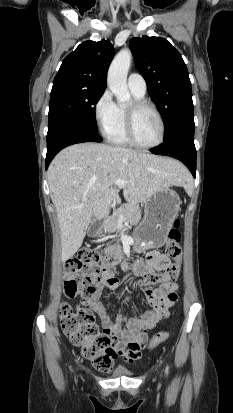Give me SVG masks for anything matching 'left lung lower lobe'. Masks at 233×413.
I'll list each match as a JSON object with an SVG mask.
<instances>
[{"label":"left lung lower lobe","mask_w":233,"mask_h":413,"mask_svg":"<svg viewBox=\"0 0 233 413\" xmlns=\"http://www.w3.org/2000/svg\"><path fill=\"white\" fill-rule=\"evenodd\" d=\"M154 154L174 157L183 162L196 176V149L194 133H180L162 145L151 150Z\"/></svg>","instance_id":"0a47b994"}]
</instances>
